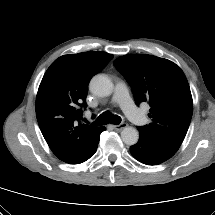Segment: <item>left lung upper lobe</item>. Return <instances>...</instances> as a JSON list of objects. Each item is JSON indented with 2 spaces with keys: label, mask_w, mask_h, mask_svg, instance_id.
I'll use <instances>...</instances> for the list:
<instances>
[{
  "label": "left lung upper lobe",
  "mask_w": 215,
  "mask_h": 215,
  "mask_svg": "<svg viewBox=\"0 0 215 215\" xmlns=\"http://www.w3.org/2000/svg\"><path fill=\"white\" fill-rule=\"evenodd\" d=\"M131 86L137 105H150L151 123L140 127L163 143L179 149L187 133L193 101L183 71L153 55H124L114 61Z\"/></svg>",
  "instance_id": "5c2ea615"
}]
</instances>
